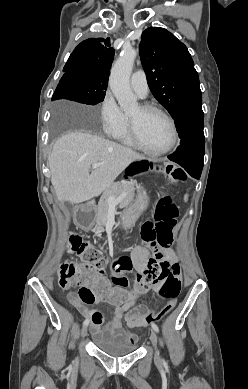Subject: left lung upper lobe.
Masks as SVG:
<instances>
[{
  "mask_svg": "<svg viewBox=\"0 0 248 389\" xmlns=\"http://www.w3.org/2000/svg\"><path fill=\"white\" fill-rule=\"evenodd\" d=\"M140 57L153 96L173 118L185 105L202 100L191 55L172 33L160 27L143 31Z\"/></svg>",
  "mask_w": 248,
  "mask_h": 389,
  "instance_id": "5c2ea615",
  "label": "left lung upper lobe"
}]
</instances>
